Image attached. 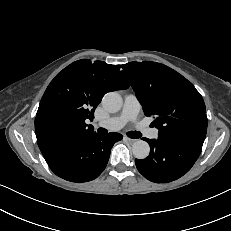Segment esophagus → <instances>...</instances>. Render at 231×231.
Returning <instances> with one entry per match:
<instances>
[{"label":"esophagus","mask_w":231,"mask_h":231,"mask_svg":"<svg viewBox=\"0 0 231 231\" xmlns=\"http://www.w3.org/2000/svg\"><path fill=\"white\" fill-rule=\"evenodd\" d=\"M124 139L128 142V143H130V144H132V143H134V142H136L137 141V139H132V138H128V137H124Z\"/></svg>","instance_id":"1"}]
</instances>
